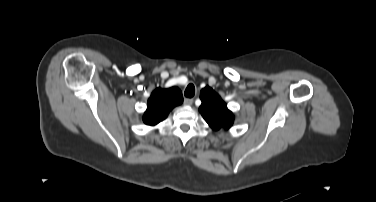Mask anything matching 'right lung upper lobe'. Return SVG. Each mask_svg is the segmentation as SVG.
Returning <instances> with one entry per match:
<instances>
[{
  "mask_svg": "<svg viewBox=\"0 0 376 202\" xmlns=\"http://www.w3.org/2000/svg\"><path fill=\"white\" fill-rule=\"evenodd\" d=\"M182 102L183 96L179 88H157L148 99L147 110L143 116L144 123L151 126L158 124L168 116L175 106Z\"/></svg>",
  "mask_w": 376,
  "mask_h": 202,
  "instance_id": "right-lung-upper-lobe-1",
  "label": "right lung upper lobe"
}]
</instances>
